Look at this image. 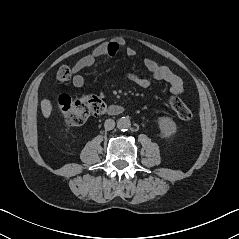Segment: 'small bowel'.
Returning a JSON list of instances; mask_svg holds the SVG:
<instances>
[{
	"label": "small bowel",
	"instance_id": "obj_1",
	"mask_svg": "<svg viewBox=\"0 0 239 239\" xmlns=\"http://www.w3.org/2000/svg\"><path fill=\"white\" fill-rule=\"evenodd\" d=\"M124 44L125 42L123 39L117 38L109 43L97 46L91 53L79 59L72 67V72L74 73L72 79L73 85L77 88L83 87L85 80L79 72L85 68L91 67L101 56L114 57ZM126 54L129 57H134L136 55V50L128 47L126 49ZM144 64L154 79L169 84L172 94L178 95L183 92L184 85L182 79L166 66L159 64L153 59H145ZM129 79L141 88H147L150 85L148 79L139 77L135 73H130Z\"/></svg>",
	"mask_w": 239,
	"mask_h": 239
}]
</instances>
